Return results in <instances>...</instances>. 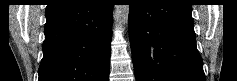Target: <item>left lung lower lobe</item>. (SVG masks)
<instances>
[{
	"instance_id": "1",
	"label": "left lung lower lobe",
	"mask_w": 237,
	"mask_h": 81,
	"mask_svg": "<svg viewBox=\"0 0 237 81\" xmlns=\"http://www.w3.org/2000/svg\"><path fill=\"white\" fill-rule=\"evenodd\" d=\"M191 12L190 2L182 0H134L130 4L136 81H205Z\"/></svg>"
}]
</instances>
